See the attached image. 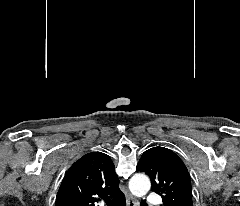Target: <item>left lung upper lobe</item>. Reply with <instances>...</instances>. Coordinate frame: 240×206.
Masks as SVG:
<instances>
[{
    "label": "left lung upper lobe",
    "instance_id": "5c2ea615",
    "mask_svg": "<svg viewBox=\"0 0 240 206\" xmlns=\"http://www.w3.org/2000/svg\"><path fill=\"white\" fill-rule=\"evenodd\" d=\"M137 169L149 175L152 191L161 195L164 206H193L190 175L170 149L157 146L146 150Z\"/></svg>",
    "mask_w": 240,
    "mask_h": 206
}]
</instances>
